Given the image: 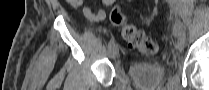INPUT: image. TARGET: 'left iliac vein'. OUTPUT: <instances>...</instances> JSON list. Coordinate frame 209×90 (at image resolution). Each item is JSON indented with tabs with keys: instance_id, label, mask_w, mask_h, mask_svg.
<instances>
[{
	"instance_id": "4c4485c4",
	"label": "left iliac vein",
	"mask_w": 209,
	"mask_h": 90,
	"mask_svg": "<svg viewBox=\"0 0 209 90\" xmlns=\"http://www.w3.org/2000/svg\"><path fill=\"white\" fill-rule=\"evenodd\" d=\"M179 24H183L182 21H180V19H175V23L173 24V36H175V39H180V32L181 29H179ZM179 48H181V44L179 43Z\"/></svg>"
}]
</instances>
